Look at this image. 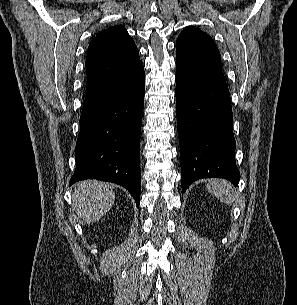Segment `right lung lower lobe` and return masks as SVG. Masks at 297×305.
<instances>
[{
	"instance_id": "obj_1",
	"label": "right lung lower lobe",
	"mask_w": 297,
	"mask_h": 305,
	"mask_svg": "<svg viewBox=\"0 0 297 305\" xmlns=\"http://www.w3.org/2000/svg\"><path fill=\"white\" fill-rule=\"evenodd\" d=\"M143 63L106 84L86 90L69 185L99 179L125 187L140 202V130L144 106Z\"/></svg>"
}]
</instances>
